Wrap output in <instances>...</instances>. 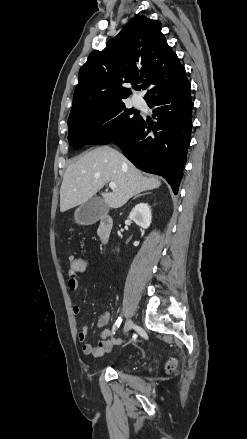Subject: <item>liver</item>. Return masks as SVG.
I'll list each match as a JSON object with an SVG mask.
<instances>
[{
  "instance_id": "1",
  "label": "liver",
  "mask_w": 247,
  "mask_h": 439,
  "mask_svg": "<svg viewBox=\"0 0 247 439\" xmlns=\"http://www.w3.org/2000/svg\"><path fill=\"white\" fill-rule=\"evenodd\" d=\"M110 182L116 183L117 188L101 195L114 209L123 206L134 195L161 185L158 178L143 176L119 151L109 146L98 147L67 167L60 189V211L86 203Z\"/></svg>"
}]
</instances>
